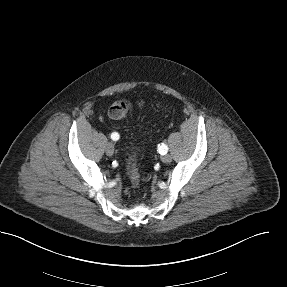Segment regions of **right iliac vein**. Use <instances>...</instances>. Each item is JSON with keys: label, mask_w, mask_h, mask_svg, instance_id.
Listing matches in <instances>:
<instances>
[{"label": "right iliac vein", "mask_w": 287, "mask_h": 287, "mask_svg": "<svg viewBox=\"0 0 287 287\" xmlns=\"http://www.w3.org/2000/svg\"><path fill=\"white\" fill-rule=\"evenodd\" d=\"M113 153H114V146H113V144H112V143L107 144L106 154H107L108 156H112Z\"/></svg>", "instance_id": "right-iliac-vein-1"}]
</instances>
